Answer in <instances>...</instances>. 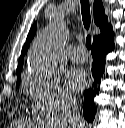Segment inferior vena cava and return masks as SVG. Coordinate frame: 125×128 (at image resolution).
<instances>
[{"instance_id":"inferior-vena-cava-1","label":"inferior vena cava","mask_w":125,"mask_h":128,"mask_svg":"<svg viewBox=\"0 0 125 128\" xmlns=\"http://www.w3.org/2000/svg\"><path fill=\"white\" fill-rule=\"evenodd\" d=\"M67 120L68 128H82L81 118L77 115V107L73 104L67 107L65 117L61 121Z\"/></svg>"}]
</instances>
